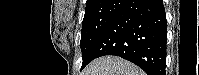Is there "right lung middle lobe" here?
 I'll return each mask as SVG.
<instances>
[{"label":"right lung middle lobe","instance_id":"right-lung-middle-lobe-1","mask_svg":"<svg viewBox=\"0 0 199 75\" xmlns=\"http://www.w3.org/2000/svg\"><path fill=\"white\" fill-rule=\"evenodd\" d=\"M127 1L107 0L102 5L85 9L80 41L83 59L81 70L91 61L94 45Z\"/></svg>","mask_w":199,"mask_h":75}]
</instances>
